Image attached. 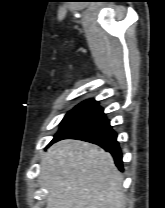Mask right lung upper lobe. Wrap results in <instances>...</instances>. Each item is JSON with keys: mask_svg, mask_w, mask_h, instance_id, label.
Masks as SVG:
<instances>
[{"mask_svg": "<svg viewBox=\"0 0 165 208\" xmlns=\"http://www.w3.org/2000/svg\"><path fill=\"white\" fill-rule=\"evenodd\" d=\"M97 106H98V102L95 101V100H93V99H90V100H86V101L80 103V104H79L78 106H76V107H87V108L93 109V108H95V107H97Z\"/></svg>", "mask_w": 165, "mask_h": 208, "instance_id": "1", "label": "right lung upper lobe"}]
</instances>
